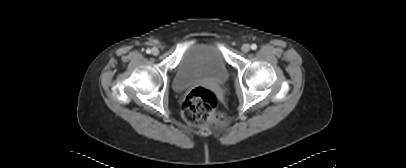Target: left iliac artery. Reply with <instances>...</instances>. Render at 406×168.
Returning a JSON list of instances; mask_svg holds the SVG:
<instances>
[{"instance_id":"1","label":"left iliac artery","mask_w":406,"mask_h":168,"mask_svg":"<svg viewBox=\"0 0 406 168\" xmlns=\"http://www.w3.org/2000/svg\"><path fill=\"white\" fill-rule=\"evenodd\" d=\"M251 49H252V50H256V49H257V45H256V44H252V45H251Z\"/></svg>"}]
</instances>
